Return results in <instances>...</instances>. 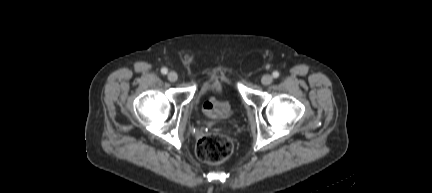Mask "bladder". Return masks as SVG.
<instances>
[{
	"label": "bladder",
	"instance_id": "1",
	"mask_svg": "<svg viewBox=\"0 0 432 193\" xmlns=\"http://www.w3.org/2000/svg\"><path fill=\"white\" fill-rule=\"evenodd\" d=\"M222 94L223 87L220 84H207L201 88L195 101L196 103H200L209 96H221Z\"/></svg>",
	"mask_w": 432,
	"mask_h": 193
}]
</instances>
